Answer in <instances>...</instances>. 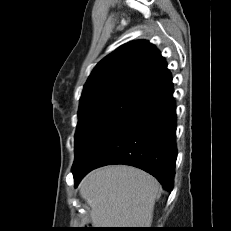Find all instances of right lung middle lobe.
I'll list each match as a JSON object with an SVG mask.
<instances>
[{"instance_id":"dd1d6c3e","label":"right lung middle lobe","mask_w":231,"mask_h":231,"mask_svg":"<svg viewBox=\"0 0 231 231\" xmlns=\"http://www.w3.org/2000/svg\"><path fill=\"white\" fill-rule=\"evenodd\" d=\"M145 104L143 99L134 95L113 94L80 108L72 170L78 169L101 142Z\"/></svg>"}]
</instances>
